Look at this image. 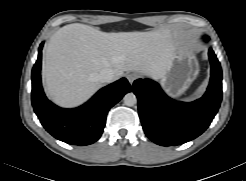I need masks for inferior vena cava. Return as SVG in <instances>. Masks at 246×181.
I'll return each mask as SVG.
<instances>
[{
  "label": "inferior vena cava",
  "mask_w": 246,
  "mask_h": 181,
  "mask_svg": "<svg viewBox=\"0 0 246 181\" xmlns=\"http://www.w3.org/2000/svg\"><path fill=\"white\" fill-rule=\"evenodd\" d=\"M115 79V75L112 69L104 68L97 75V80L101 83H110Z\"/></svg>",
  "instance_id": "1"
}]
</instances>
